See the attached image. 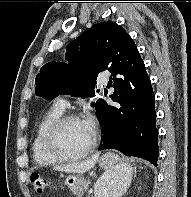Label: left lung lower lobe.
Returning a JSON list of instances; mask_svg holds the SVG:
<instances>
[{
  "label": "left lung lower lobe",
  "mask_w": 191,
  "mask_h": 197,
  "mask_svg": "<svg viewBox=\"0 0 191 197\" xmlns=\"http://www.w3.org/2000/svg\"><path fill=\"white\" fill-rule=\"evenodd\" d=\"M109 84L114 88L110 97L120 107L104 103L97 114L104 126L100 150L116 149L157 166L159 148L155 96L145 65L134 72L113 74Z\"/></svg>",
  "instance_id": "left-lung-lower-lobe-1"
}]
</instances>
